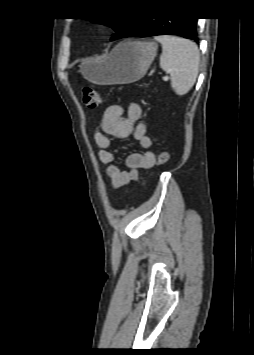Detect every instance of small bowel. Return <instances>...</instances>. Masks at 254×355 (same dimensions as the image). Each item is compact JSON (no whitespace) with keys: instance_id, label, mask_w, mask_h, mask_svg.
<instances>
[{"instance_id":"obj_1","label":"small bowel","mask_w":254,"mask_h":355,"mask_svg":"<svg viewBox=\"0 0 254 355\" xmlns=\"http://www.w3.org/2000/svg\"><path fill=\"white\" fill-rule=\"evenodd\" d=\"M142 117V108L137 103H131L124 115L123 107L119 104L109 106L101 120V132L94 134V139L99 147L98 157L107 165L106 175L114 189H119L131 181L139 178V171L147 170L155 164V154L150 150L152 141L147 135L145 123L139 122ZM133 136L143 149L141 153H134L126 158L128 170H122L115 164L113 153L114 142L112 138L124 139Z\"/></svg>"}]
</instances>
